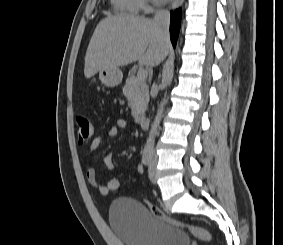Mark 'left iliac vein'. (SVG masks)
Here are the masks:
<instances>
[{
    "label": "left iliac vein",
    "instance_id": "4c4485c4",
    "mask_svg": "<svg viewBox=\"0 0 283 245\" xmlns=\"http://www.w3.org/2000/svg\"><path fill=\"white\" fill-rule=\"evenodd\" d=\"M148 174L151 182L155 184L157 178H156V157L154 154H152L150 157Z\"/></svg>",
    "mask_w": 283,
    "mask_h": 245
}]
</instances>
